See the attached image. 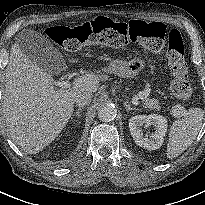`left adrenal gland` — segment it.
<instances>
[{
  "label": "left adrenal gland",
  "mask_w": 205,
  "mask_h": 205,
  "mask_svg": "<svg viewBox=\"0 0 205 205\" xmlns=\"http://www.w3.org/2000/svg\"><path fill=\"white\" fill-rule=\"evenodd\" d=\"M124 106H125V108H126V111L128 112V111H132V110H134V111H140V109H138V108H133V107H131L129 104H128V102H125L124 103Z\"/></svg>",
  "instance_id": "1"
}]
</instances>
